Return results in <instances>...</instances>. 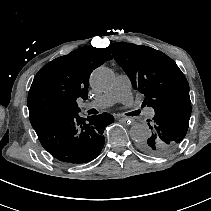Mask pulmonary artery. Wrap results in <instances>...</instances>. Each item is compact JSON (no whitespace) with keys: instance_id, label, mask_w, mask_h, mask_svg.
Wrapping results in <instances>:
<instances>
[{"instance_id":"obj_1","label":"pulmonary artery","mask_w":211,"mask_h":211,"mask_svg":"<svg viewBox=\"0 0 211 211\" xmlns=\"http://www.w3.org/2000/svg\"><path fill=\"white\" fill-rule=\"evenodd\" d=\"M130 86L131 82L129 77L126 74H120L117 76L116 81L109 92L98 96L90 103L82 104L81 108L86 110H103L112 106L119 100H121L124 104H129L132 101ZM142 114L148 121H153L157 117V111L155 107L151 105L144 107Z\"/></svg>"}]
</instances>
